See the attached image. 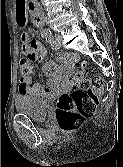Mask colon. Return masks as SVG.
I'll return each instance as SVG.
<instances>
[{"instance_id": "obj_1", "label": "colon", "mask_w": 123, "mask_h": 167, "mask_svg": "<svg viewBox=\"0 0 123 167\" xmlns=\"http://www.w3.org/2000/svg\"><path fill=\"white\" fill-rule=\"evenodd\" d=\"M64 56L76 61L83 70L75 77L73 90L62 94L57 101V122L62 130L72 131L95 113L104 83L100 76L87 73V64L84 60H80L76 55ZM27 63V59H21L20 67Z\"/></svg>"}]
</instances>
